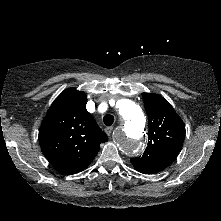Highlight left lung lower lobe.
Here are the masks:
<instances>
[{
	"label": "left lung lower lobe",
	"mask_w": 221,
	"mask_h": 221,
	"mask_svg": "<svg viewBox=\"0 0 221 221\" xmlns=\"http://www.w3.org/2000/svg\"><path fill=\"white\" fill-rule=\"evenodd\" d=\"M134 168H135V170L138 171V172L147 174L146 172H144L143 170H141V169H139V168H136V167H134Z\"/></svg>",
	"instance_id": "left-lung-lower-lobe-1"
}]
</instances>
